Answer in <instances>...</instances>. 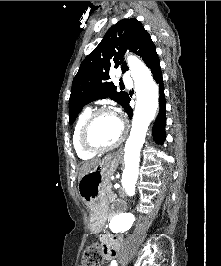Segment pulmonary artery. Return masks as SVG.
I'll list each match as a JSON object with an SVG mask.
<instances>
[{
	"label": "pulmonary artery",
	"mask_w": 221,
	"mask_h": 266,
	"mask_svg": "<svg viewBox=\"0 0 221 266\" xmlns=\"http://www.w3.org/2000/svg\"><path fill=\"white\" fill-rule=\"evenodd\" d=\"M120 76H121V78H122L125 82L129 81V76H128L127 73H125V72H120Z\"/></svg>",
	"instance_id": "1"
}]
</instances>
